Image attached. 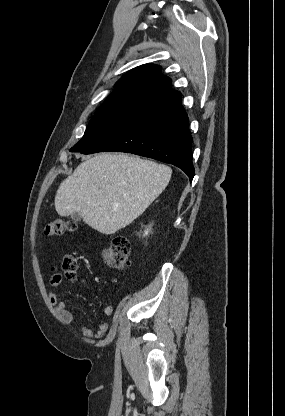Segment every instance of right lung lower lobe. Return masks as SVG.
Listing matches in <instances>:
<instances>
[{
  "label": "right lung lower lobe",
  "mask_w": 285,
  "mask_h": 416,
  "mask_svg": "<svg viewBox=\"0 0 285 416\" xmlns=\"http://www.w3.org/2000/svg\"><path fill=\"white\" fill-rule=\"evenodd\" d=\"M191 145L188 117L178 104L150 114L81 153L117 151L153 158L179 167L192 181L195 170Z\"/></svg>",
  "instance_id": "98d812e1"
}]
</instances>
